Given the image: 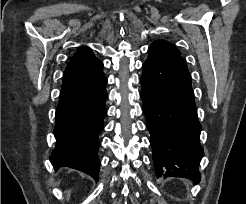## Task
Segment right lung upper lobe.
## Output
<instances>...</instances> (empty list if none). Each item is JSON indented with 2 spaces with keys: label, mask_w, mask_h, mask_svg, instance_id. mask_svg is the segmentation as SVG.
Returning a JSON list of instances; mask_svg holds the SVG:
<instances>
[{
  "label": "right lung upper lobe",
  "mask_w": 246,
  "mask_h": 204,
  "mask_svg": "<svg viewBox=\"0 0 246 204\" xmlns=\"http://www.w3.org/2000/svg\"><path fill=\"white\" fill-rule=\"evenodd\" d=\"M77 61H99L92 51L87 47H81L73 56L71 62Z\"/></svg>",
  "instance_id": "1"
}]
</instances>
